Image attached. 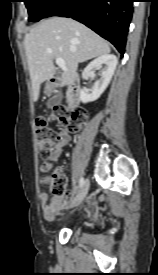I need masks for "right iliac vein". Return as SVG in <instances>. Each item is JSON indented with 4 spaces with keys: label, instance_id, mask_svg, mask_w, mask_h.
Masks as SVG:
<instances>
[{
    "label": "right iliac vein",
    "instance_id": "right-iliac-vein-1",
    "mask_svg": "<svg viewBox=\"0 0 158 275\" xmlns=\"http://www.w3.org/2000/svg\"><path fill=\"white\" fill-rule=\"evenodd\" d=\"M88 189H89V181L86 180L85 183H84V186L81 190V192L77 195V197L72 201L71 203V207H75V206H78L83 200L84 198L86 197L87 195V192H88Z\"/></svg>",
    "mask_w": 158,
    "mask_h": 275
}]
</instances>
